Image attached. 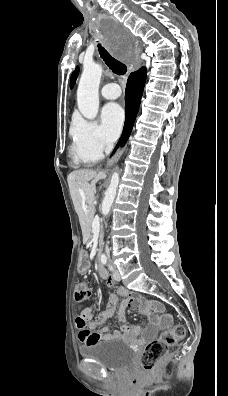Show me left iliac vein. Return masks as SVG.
<instances>
[{
	"mask_svg": "<svg viewBox=\"0 0 228 396\" xmlns=\"http://www.w3.org/2000/svg\"><path fill=\"white\" fill-rule=\"evenodd\" d=\"M113 278L116 281H120V279H121L120 273L116 268L113 269Z\"/></svg>",
	"mask_w": 228,
	"mask_h": 396,
	"instance_id": "4c4485c4",
	"label": "left iliac vein"
}]
</instances>
